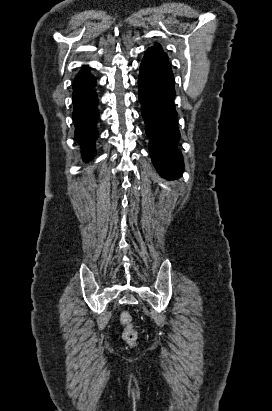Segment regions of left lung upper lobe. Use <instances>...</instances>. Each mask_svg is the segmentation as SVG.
I'll return each mask as SVG.
<instances>
[{"label": "left lung upper lobe", "mask_w": 272, "mask_h": 411, "mask_svg": "<svg viewBox=\"0 0 272 411\" xmlns=\"http://www.w3.org/2000/svg\"><path fill=\"white\" fill-rule=\"evenodd\" d=\"M151 48L157 50L158 52H160L161 54H163L165 57L168 58L167 54L163 52L160 44L155 43V44H154V47H151Z\"/></svg>", "instance_id": "obj_1"}]
</instances>
